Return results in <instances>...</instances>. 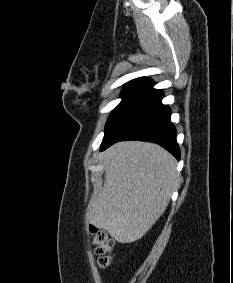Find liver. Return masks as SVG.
I'll use <instances>...</instances> for the list:
<instances>
[{"mask_svg":"<svg viewBox=\"0 0 233 283\" xmlns=\"http://www.w3.org/2000/svg\"><path fill=\"white\" fill-rule=\"evenodd\" d=\"M103 189L89 202L88 221L119 243L141 239L166 210L179 183L176 159L157 144L124 141L103 153Z\"/></svg>","mask_w":233,"mask_h":283,"instance_id":"6515ba94","label":"liver"}]
</instances>
